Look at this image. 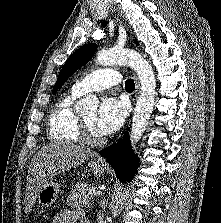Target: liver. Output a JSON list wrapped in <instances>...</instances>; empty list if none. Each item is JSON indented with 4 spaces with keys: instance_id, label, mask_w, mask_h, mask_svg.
<instances>
[{
    "instance_id": "6515ba94",
    "label": "liver",
    "mask_w": 221,
    "mask_h": 223,
    "mask_svg": "<svg viewBox=\"0 0 221 223\" xmlns=\"http://www.w3.org/2000/svg\"><path fill=\"white\" fill-rule=\"evenodd\" d=\"M95 152L67 141H56L41 148L33 157L28 176L25 209L30 211L39 191L60 172L92 158Z\"/></svg>"
}]
</instances>
